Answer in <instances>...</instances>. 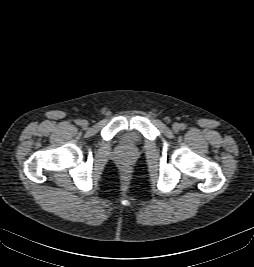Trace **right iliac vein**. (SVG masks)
<instances>
[{
    "label": "right iliac vein",
    "mask_w": 254,
    "mask_h": 267,
    "mask_svg": "<svg viewBox=\"0 0 254 267\" xmlns=\"http://www.w3.org/2000/svg\"><path fill=\"white\" fill-rule=\"evenodd\" d=\"M81 126H82L83 128H87V127L89 126L88 121H87V120H83V121L81 122Z\"/></svg>",
    "instance_id": "obj_1"
}]
</instances>
